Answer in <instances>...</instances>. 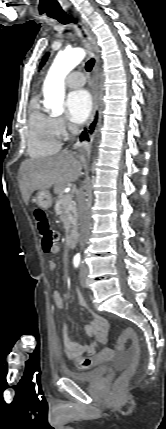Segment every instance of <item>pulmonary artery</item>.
<instances>
[{
	"label": "pulmonary artery",
	"instance_id": "1",
	"mask_svg": "<svg viewBox=\"0 0 166 429\" xmlns=\"http://www.w3.org/2000/svg\"><path fill=\"white\" fill-rule=\"evenodd\" d=\"M66 83L71 88L82 86L85 83V76L80 71L72 72L67 76Z\"/></svg>",
	"mask_w": 166,
	"mask_h": 429
}]
</instances>
